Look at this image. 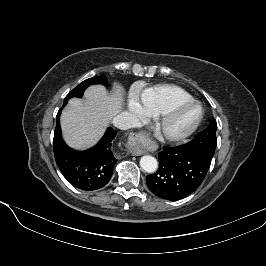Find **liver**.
I'll return each mask as SVG.
<instances>
[{"label": "liver", "instance_id": "6515ba94", "mask_svg": "<svg viewBox=\"0 0 266 266\" xmlns=\"http://www.w3.org/2000/svg\"><path fill=\"white\" fill-rule=\"evenodd\" d=\"M124 90L114 83L107 93L102 85L85 91V100L73 98L61 114V128L66 143L75 149H86L98 142L107 124L122 111Z\"/></svg>", "mask_w": 266, "mask_h": 266}]
</instances>
